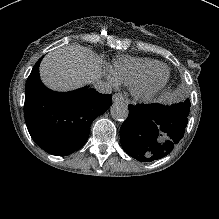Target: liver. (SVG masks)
<instances>
[{"instance_id":"6515ba94","label":"liver","mask_w":219,"mask_h":219,"mask_svg":"<svg viewBox=\"0 0 219 219\" xmlns=\"http://www.w3.org/2000/svg\"><path fill=\"white\" fill-rule=\"evenodd\" d=\"M96 56L84 48L65 47L48 54L40 64L43 83L58 91H68L99 78Z\"/></svg>"}]
</instances>
